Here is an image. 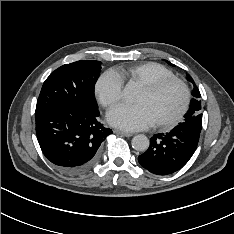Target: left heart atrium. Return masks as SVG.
Returning a JSON list of instances; mask_svg holds the SVG:
<instances>
[{
  "label": "left heart atrium",
  "instance_id": "39dd6f15",
  "mask_svg": "<svg viewBox=\"0 0 234 234\" xmlns=\"http://www.w3.org/2000/svg\"><path fill=\"white\" fill-rule=\"evenodd\" d=\"M107 120L112 126L127 131L145 129L153 124L149 112L141 104L118 105L108 112Z\"/></svg>",
  "mask_w": 234,
  "mask_h": 234
}]
</instances>
